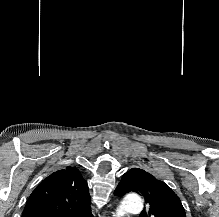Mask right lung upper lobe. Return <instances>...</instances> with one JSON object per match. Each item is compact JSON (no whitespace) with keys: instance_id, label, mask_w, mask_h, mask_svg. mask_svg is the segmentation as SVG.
I'll return each mask as SVG.
<instances>
[{"instance_id":"cb5924a9","label":"right lung upper lobe","mask_w":219,"mask_h":217,"mask_svg":"<svg viewBox=\"0 0 219 217\" xmlns=\"http://www.w3.org/2000/svg\"><path fill=\"white\" fill-rule=\"evenodd\" d=\"M22 217H93L88 185L78 169L46 177L31 193Z\"/></svg>"}]
</instances>
